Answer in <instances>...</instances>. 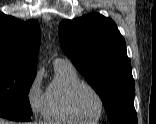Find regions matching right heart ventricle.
Instances as JSON below:
<instances>
[{
  "label": "right heart ventricle",
  "instance_id": "obj_1",
  "mask_svg": "<svg viewBox=\"0 0 156 124\" xmlns=\"http://www.w3.org/2000/svg\"><path fill=\"white\" fill-rule=\"evenodd\" d=\"M55 77L45 91L44 117L54 124H87L77 119L70 110L68 94L81 79L72 64L54 65Z\"/></svg>",
  "mask_w": 156,
  "mask_h": 124
}]
</instances>
